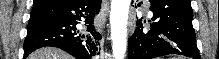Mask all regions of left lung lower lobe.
I'll return each mask as SVG.
<instances>
[{"label":"left lung lower lobe","mask_w":219,"mask_h":59,"mask_svg":"<svg viewBox=\"0 0 219 59\" xmlns=\"http://www.w3.org/2000/svg\"><path fill=\"white\" fill-rule=\"evenodd\" d=\"M149 1L153 12L151 20L155 22L147 30L143 28L142 19L138 21L128 40V59H153L169 54L200 59L190 0Z\"/></svg>","instance_id":"0a47b994"}]
</instances>
